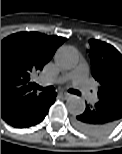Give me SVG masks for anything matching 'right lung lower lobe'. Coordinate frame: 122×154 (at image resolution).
Segmentation results:
<instances>
[{"mask_svg": "<svg viewBox=\"0 0 122 154\" xmlns=\"http://www.w3.org/2000/svg\"><path fill=\"white\" fill-rule=\"evenodd\" d=\"M56 100L55 94L44 96L25 104L5 121L15 128H27L40 123L48 113L50 106Z\"/></svg>", "mask_w": 122, "mask_h": 154, "instance_id": "obj_1", "label": "right lung lower lobe"}]
</instances>
